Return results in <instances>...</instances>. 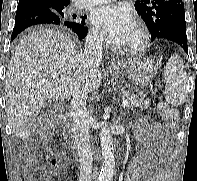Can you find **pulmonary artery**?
<instances>
[{
  "instance_id": "1",
  "label": "pulmonary artery",
  "mask_w": 197,
  "mask_h": 181,
  "mask_svg": "<svg viewBox=\"0 0 197 181\" xmlns=\"http://www.w3.org/2000/svg\"><path fill=\"white\" fill-rule=\"evenodd\" d=\"M110 1H112V0H79L75 4V7L76 8H83V7H88V6L108 3Z\"/></svg>"
}]
</instances>
